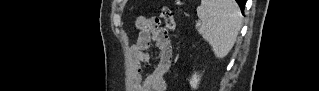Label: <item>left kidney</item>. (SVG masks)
<instances>
[{
  "label": "left kidney",
  "mask_w": 319,
  "mask_h": 91,
  "mask_svg": "<svg viewBox=\"0 0 319 91\" xmlns=\"http://www.w3.org/2000/svg\"><path fill=\"white\" fill-rule=\"evenodd\" d=\"M200 81V75H198L196 72L193 74L192 78L190 79V85L193 89H196L198 87Z\"/></svg>",
  "instance_id": "5707ae66"
}]
</instances>
